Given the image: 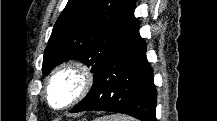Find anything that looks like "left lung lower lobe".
<instances>
[{
    "mask_svg": "<svg viewBox=\"0 0 217 121\" xmlns=\"http://www.w3.org/2000/svg\"><path fill=\"white\" fill-rule=\"evenodd\" d=\"M138 30L139 23L135 20L95 75L90 92L71 113L114 111L141 121H156L153 69L145 55L146 43Z\"/></svg>",
    "mask_w": 217,
    "mask_h": 121,
    "instance_id": "left-lung-lower-lobe-1",
    "label": "left lung lower lobe"
}]
</instances>
